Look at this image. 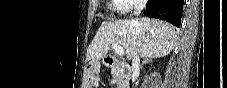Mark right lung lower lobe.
<instances>
[{
	"label": "right lung lower lobe",
	"instance_id": "right-lung-lower-lobe-1",
	"mask_svg": "<svg viewBox=\"0 0 227 88\" xmlns=\"http://www.w3.org/2000/svg\"><path fill=\"white\" fill-rule=\"evenodd\" d=\"M183 11V0H148L146 12L151 18H158L179 27Z\"/></svg>",
	"mask_w": 227,
	"mask_h": 88
}]
</instances>
